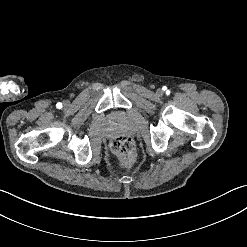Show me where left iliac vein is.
<instances>
[{
	"label": "left iliac vein",
	"mask_w": 247,
	"mask_h": 247,
	"mask_svg": "<svg viewBox=\"0 0 247 247\" xmlns=\"http://www.w3.org/2000/svg\"><path fill=\"white\" fill-rule=\"evenodd\" d=\"M162 94H163V91L161 89L157 91L158 96H162Z\"/></svg>",
	"instance_id": "left-iliac-vein-1"
}]
</instances>
